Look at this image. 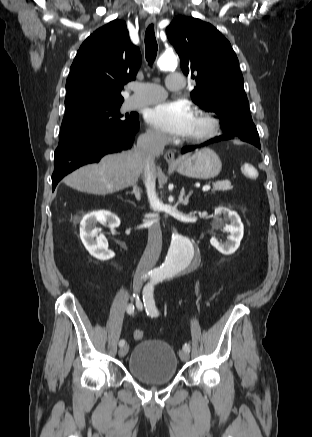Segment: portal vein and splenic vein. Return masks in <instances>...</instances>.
Returning a JSON list of instances; mask_svg holds the SVG:
<instances>
[{
  "label": "portal vein and splenic vein",
  "instance_id": "18ae733b",
  "mask_svg": "<svg viewBox=\"0 0 312 437\" xmlns=\"http://www.w3.org/2000/svg\"><path fill=\"white\" fill-rule=\"evenodd\" d=\"M210 188H211L210 185H206L202 188V190L205 192V191L210 190Z\"/></svg>",
  "mask_w": 312,
  "mask_h": 437
}]
</instances>
